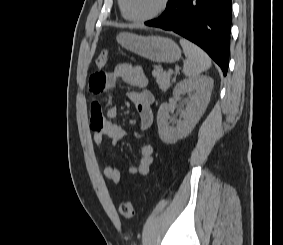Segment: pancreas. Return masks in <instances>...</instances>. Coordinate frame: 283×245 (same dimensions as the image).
Here are the masks:
<instances>
[{"label":"pancreas","mask_w":283,"mask_h":245,"mask_svg":"<svg viewBox=\"0 0 283 245\" xmlns=\"http://www.w3.org/2000/svg\"><path fill=\"white\" fill-rule=\"evenodd\" d=\"M152 75L162 91H166L170 86L171 74L166 73L160 66H154Z\"/></svg>","instance_id":"obj_1"}]
</instances>
